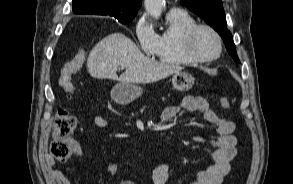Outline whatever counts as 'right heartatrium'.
Masks as SVG:
<instances>
[{
	"label": "right heart atrium",
	"mask_w": 293,
	"mask_h": 184,
	"mask_svg": "<svg viewBox=\"0 0 293 184\" xmlns=\"http://www.w3.org/2000/svg\"><path fill=\"white\" fill-rule=\"evenodd\" d=\"M134 34L141 50L147 55H153L157 44V33L146 15L142 14L136 19Z\"/></svg>",
	"instance_id": "1"
}]
</instances>
